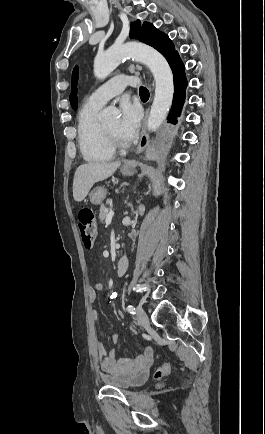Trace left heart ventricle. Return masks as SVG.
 Segmentation results:
<instances>
[{
	"label": "left heart ventricle",
	"instance_id": "obj_1",
	"mask_svg": "<svg viewBox=\"0 0 265 434\" xmlns=\"http://www.w3.org/2000/svg\"><path fill=\"white\" fill-rule=\"evenodd\" d=\"M114 134H116L118 136V138L121 140V138L119 137L118 134V125H119V121L118 119H114L110 122H108L107 124H105ZM122 141V140H121Z\"/></svg>",
	"mask_w": 265,
	"mask_h": 434
}]
</instances>
